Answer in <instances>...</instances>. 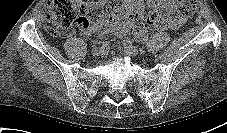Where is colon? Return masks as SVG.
<instances>
[{"label": "colon", "mask_w": 227, "mask_h": 133, "mask_svg": "<svg viewBox=\"0 0 227 133\" xmlns=\"http://www.w3.org/2000/svg\"><path fill=\"white\" fill-rule=\"evenodd\" d=\"M179 13L182 17L193 15L199 5L198 0H177ZM113 10L106 0H49L43 21L47 32L54 36H61L69 28L85 30L92 23L102 21L103 18ZM135 21H142V13H133ZM147 21L162 23L164 14L153 11L147 16Z\"/></svg>", "instance_id": "obj_1"}]
</instances>
